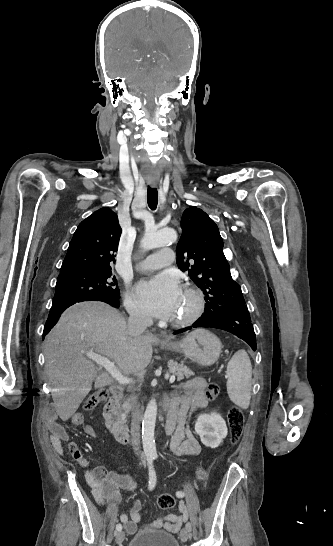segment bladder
<instances>
[{"label": "bladder", "instance_id": "1", "mask_svg": "<svg viewBox=\"0 0 333 546\" xmlns=\"http://www.w3.org/2000/svg\"><path fill=\"white\" fill-rule=\"evenodd\" d=\"M128 546H180L175 536L153 528L140 529L128 542Z\"/></svg>", "mask_w": 333, "mask_h": 546}]
</instances>
